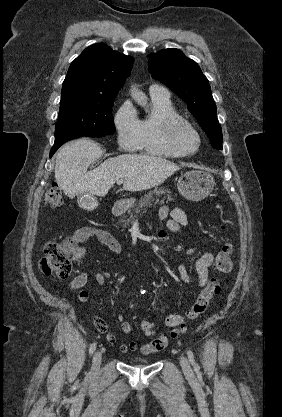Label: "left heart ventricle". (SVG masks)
Here are the masks:
<instances>
[{
	"instance_id": "obj_1",
	"label": "left heart ventricle",
	"mask_w": 282,
	"mask_h": 417,
	"mask_svg": "<svg viewBox=\"0 0 282 417\" xmlns=\"http://www.w3.org/2000/svg\"><path fill=\"white\" fill-rule=\"evenodd\" d=\"M158 125L160 133L165 137L167 129L164 123L160 120ZM180 141L182 145L189 151H193L197 146L196 137L189 132H183L180 136Z\"/></svg>"
}]
</instances>
